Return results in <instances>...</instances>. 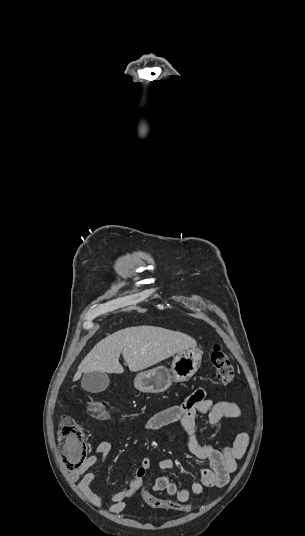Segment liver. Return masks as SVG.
I'll return each instance as SVG.
<instances>
[{
	"label": "liver",
	"mask_w": 305,
	"mask_h": 536,
	"mask_svg": "<svg viewBox=\"0 0 305 536\" xmlns=\"http://www.w3.org/2000/svg\"><path fill=\"white\" fill-rule=\"evenodd\" d=\"M196 346L195 340L182 332H172L155 326L125 328L107 336L94 346L79 364L73 382H77L82 374L89 372L123 374L124 368L119 364L120 354L127 362L130 372H140L171 358L177 352Z\"/></svg>",
	"instance_id": "liver-1"
}]
</instances>
